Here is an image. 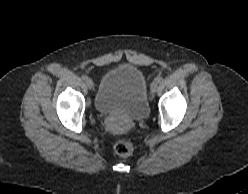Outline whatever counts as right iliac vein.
Instances as JSON below:
<instances>
[{"mask_svg":"<svg viewBox=\"0 0 248 194\" xmlns=\"http://www.w3.org/2000/svg\"><path fill=\"white\" fill-rule=\"evenodd\" d=\"M85 83H86V86L88 87V88H92L93 87V81L91 80V79H86V81H85Z\"/></svg>","mask_w":248,"mask_h":194,"instance_id":"obj_1","label":"right iliac vein"}]
</instances>
